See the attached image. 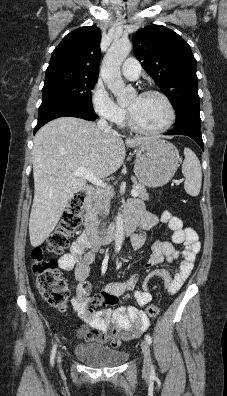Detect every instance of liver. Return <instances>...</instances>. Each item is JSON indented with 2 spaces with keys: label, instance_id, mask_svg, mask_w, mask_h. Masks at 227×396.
Here are the masks:
<instances>
[{
  "label": "liver",
  "instance_id": "1",
  "mask_svg": "<svg viewBox=\"0 0 227 396\" xmlns=\"http://www.w3.org/2000/svg\"><path fill=\"white\" fill-rule=\"evenodd\" d=\"M151 139L127 138L124 143L117 132L103 131L77 117H61L44 125L35 135L32 150L31 245L37 247L49 237L70 199L86 186V179L73 172L85 168L106 178L122 166L125 145L132 148Z\"/></svg>",
  "mask_w": 227,
  "mask_h": 396
}]
</instances>
